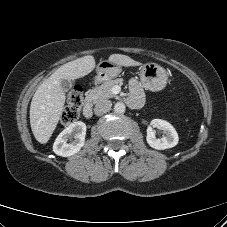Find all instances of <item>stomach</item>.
Here are the masks:
<instances>
[{
    "mask_svg": "<svg viewBox=\"0 0 227 227\" xmlns=\"http://www.w3.org/2000/svg\"><path fill=\"white\" fill-rule=\"evenodd\" d=\"M121 68L109 60L100 61L97 66L96 81L101 82L116 77ZM140 79L142 85L150 91H161L167 83L165 70L157 64L149 63L141 66Z\"/></svg>",
    "mask_w": 227,
    "mask_h": 227,
    "instance_id": "0dacf381",
    "label": "stomach"
}]
</instances>
